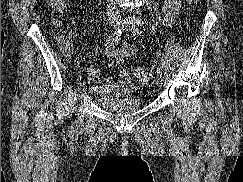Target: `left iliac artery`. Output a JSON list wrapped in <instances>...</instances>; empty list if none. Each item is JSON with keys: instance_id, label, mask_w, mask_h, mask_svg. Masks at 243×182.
Segmentation results:
<instances>
[{"instance_id": "left-iliac-artery-1", "label": "left iliac artery", "mask_w": 243, "mask_h": 182, "mask_svg": "<svg viewBox=\"0 0 243 182\" xmlns=\"http://www.w3.org/2000/svg\"><path fill=\"white\" fill-rule=\"evenodd\" d=\"M131 30H132V33H133V35H134L135 37H141V36H143L142 31H140V30H139L137 27H135L134 25H131ZM157 73H158L159 75H162L160 67L157 68Z\"/></svg>"}]
</instances>
